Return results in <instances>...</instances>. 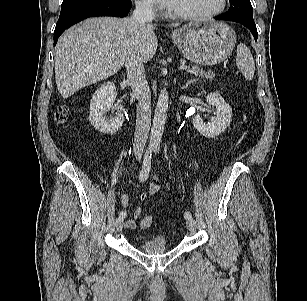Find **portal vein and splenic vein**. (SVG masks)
Here are the masks:
<instances>
[{
  "label": "portal vein and splenic vein",
  "mask_w": 307,
  "mask_h": 301,
  "mask_svg": "<svg viewBox=\"0 0 307 301\" xmlns=\"http://www.w3.org/2000/svg\"><path fill=\"white\" fill-rule=\"evenodd\" d=\"M186 69H187V65L182 64V65L180 66V70H186Z\"/></svg>",
  "instance_id": "1"
}]
</instances>
